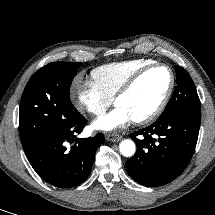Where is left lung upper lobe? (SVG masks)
<instances>
[{
  "label": "left lung upper lobe",
  "instance_id": "obj_1",
  "mask_svg": "<svg viewBox=\"0 0 215 215\" xmlns=\"http://www.w3.org/2000/svg\"><path fill=\"white\" fill-rule=\"evenodd\" d=\"M177 86L161 116L186 113L201 116V103L190 75L180 66H175Z\"/></svg>",
  "mask_w": 215,
  "mask_h": 215
}]
</instances>
